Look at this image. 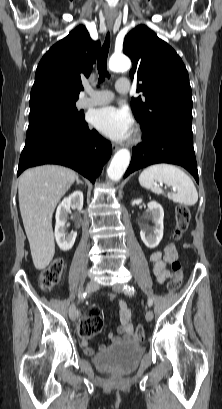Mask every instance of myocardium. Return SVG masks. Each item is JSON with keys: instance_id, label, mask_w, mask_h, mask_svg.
<instances>
[{"instance_id": "1", "label": "myocardium", "mask_w": 222, "mask_h": 409, "mask_svg": "<svg viewBox=\"0 0 222 409\" xmlns=\"http://www.w3.org/2000/svg\"><path fill=\"white\" fill-rule=\"evenodd\" d=\"M140 139H141V131L138 130V131L136 132L134 141H135V142H138Z\"/></svg>"}]
</instances>
